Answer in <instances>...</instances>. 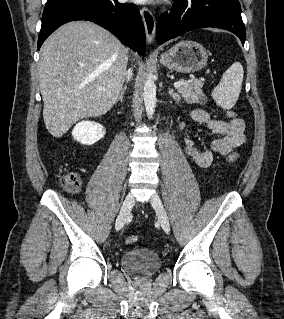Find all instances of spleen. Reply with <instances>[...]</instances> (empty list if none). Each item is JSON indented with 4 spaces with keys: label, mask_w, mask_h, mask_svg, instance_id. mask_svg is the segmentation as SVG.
<instances>
[{
    "label": "spleen",
    "mask_w": 284,
    "mask_h": 319,
    "mask_svg": "<svg viewBox=\"0 0 284 319\" xmlns=\"http://www.w3.org/2000/svg\"><path fill=\"white\" fill-rule=\"evenodd\" d=\"M241 63H233L224 73L220 83L212 91V98L222 109H231L238 100L243 81Z\"/></svg>",
    "instance_id": "spleen-1"
}]
</instances>
